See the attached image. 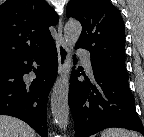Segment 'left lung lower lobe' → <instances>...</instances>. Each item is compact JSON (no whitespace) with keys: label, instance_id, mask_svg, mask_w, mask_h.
<instances>
[{"label":"left lung lower lobe","instance_id":"1","mask_svg":"<svg viewBox=\"0 0 144 137\" xmlns=\"http://www.w3.org/2000/svg\"><path fill=\"white\" fill-rule=\"evenodd\" d=\"M91 65L95 85L77 78L70 83L68 99L76 137H89L110 127L138 131L144 136L129 89L128 73L92 59ZM72 76L79 77V71L73 69Z\"/></svg>","mask_w":144,"mask_h":137}]
</instances>
